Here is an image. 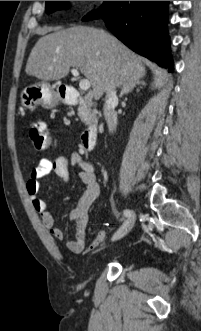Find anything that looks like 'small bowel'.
<instances>
[{
    "mask_svg": "<svg viewBox=\"0 0 201 331\" xmlns=\"http://www.w3.org/2000/svg\"><path fill=\"white\" fill-rule=\"evenodd\" d=\"M79 166L82 169L80 180L85 185V190L76 206L69 211L68 218L74 223V239L66 242V247L74 254H84L94 250L105 238L103 232L97 234L93 242L86 246V229L88 225L89 209L100 195V186L95 176L94 166L84 160L77 152L59 156L51 161L41 158L31 170L26 183V190L30 196L33 208L40 214L45 228L59 241L65 239L62 229L56 226L54 216L47 210V202L40 197V179L50 172L58 175L63 182L69 181V167Z\"/></svg>",
    "mask_w": 201,
    "mask_h": 331,
    "instance_id": "1",
    "label": "small bowel"
}]
</instances>
